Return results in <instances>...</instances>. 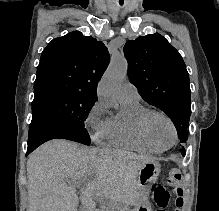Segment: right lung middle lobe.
<instances>
[{
    "mask_svg": "<svg viewBox=\"0 0 219 211\" xmlns=\"http://www.w3.org/2000/svg\"><path fill=\"white\" fill-rule=\"evenodd\" d=\"M95 101L96 98L63 89H47L35 93L30 125L37 122L62 125L80 132L90 143L85 121Z\"/></svg>",
    "mask_w": 219,
    "mask_h": 211,
    "instance_id": "obj_1",
    "label": "right lung middle lobe"
}]
</instances>
